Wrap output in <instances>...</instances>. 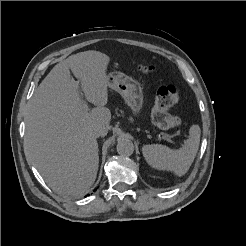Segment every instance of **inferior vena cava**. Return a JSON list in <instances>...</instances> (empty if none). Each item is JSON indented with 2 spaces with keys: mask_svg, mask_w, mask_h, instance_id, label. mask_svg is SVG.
<instances>
[{
  "mask_svg": "<svg viewBox=\"0 0 246 246\" xmlns=\"http://www.w3.org/2000/svg\"><path fill=\"white\" fill-rule=\"evenodd\" d=\"M92 134L94 137H100V136H104L105 134V129L103 127H96L93 129Z\"/></svg>",
  "mask_w": 246,
  "mask_h": 246,
  "instance_id": "inferior-vena-cava-1",
  "label": "inferior vena cava"
}]
</instances>
